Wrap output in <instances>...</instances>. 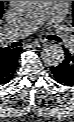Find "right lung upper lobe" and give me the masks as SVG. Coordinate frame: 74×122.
<instances>
[{
    "label": "right lung upper lobe",
    "mask_w": 74,
    "mask_h": 122,
    "mask_svg": "<svg viewBox=\"0 0 74 122\" xmlns=\"http://www.w3.org/2000/svg\"><path fill=\"white\" fill-rule=\"evenodd\" d=\"M2 11H3L2 1H0V18L2 17ZM0 51H3L1 47Z\"/></svg>",
    "instance_id": "cb5924a9"
}]
</instances>
